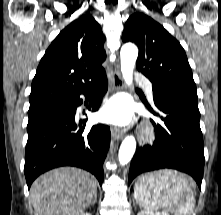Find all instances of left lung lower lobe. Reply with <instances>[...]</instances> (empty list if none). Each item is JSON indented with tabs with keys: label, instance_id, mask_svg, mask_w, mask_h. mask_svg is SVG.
<instances>
[{
	"label": "left lung lower lobe",
	"instance_id": "1",
	"mask_svg": "<svg viewBox=\"0 0 221 215\" xmlns=\"http://www.w3.org/2000/svg\"><path fill=\"white\" fill-rule=\"evenodd\" d=\"M154 104L162 123H155L154 145L139 148L131 162L128 184L139 174L176 169L191 175L201 189L204 170V145L199 125L198 101L175 92H153Z\"/></svg>",
	"mask_w": 221,
	"mask_h": 215
}]
</instances>
